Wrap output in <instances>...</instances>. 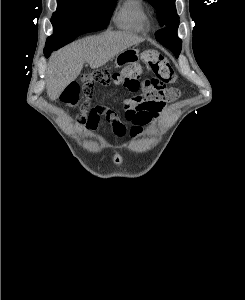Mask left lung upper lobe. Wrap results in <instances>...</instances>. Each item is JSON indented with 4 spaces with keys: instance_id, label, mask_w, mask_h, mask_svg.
<instances>
[{
    "instance_id": "1",
    "label": "left lung upper lobe",
    "mask_w": 245,
    "mask_h": 300,
    "mask_svg": "<svg viewBox=\"0 0 245 300\" xmlns=\"http://www.w3.org/2000/svg\"><path fill=\"white\" fill-rule=\"evenodd\" d=\"M148 2L157 10L160 25L165 26L155 33L157 41L178 57L182 42L177 36L179 16L176 13L175 0H148Z\"/></svg>"
}]
</instances>
